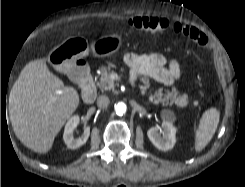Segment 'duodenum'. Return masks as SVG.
<instances>
[{
    "label": "duodenum",
    "mask_w": 245,
    "mask_h": 187,
    "mask_svg": "<svg viewBox=\"0 0 245 187\" xmlns=\"http://www.w3.org/2000/svg\"><path fill=\"white\" fill-rule=\"evenodd\" d=\"M72 75L82 84V98L86 103L95 100L97 90L85 63H77L72 69Z\"/></svg>",
    "instance_id": "410a0bca"
}]
</instances>
